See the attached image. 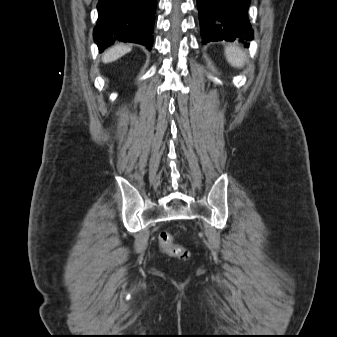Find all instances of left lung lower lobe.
Returning a JSON list of instances; mask_svg holds the SVG:
<instances>
[{
    "label": "left lung lower lobe",
    "mask_w": 337,
    "mask_h": 337,
    "mask_svg": "<svg viewBox=\"0 0 337 337\" xmlns=\"http://www.w3.org/2000/svg\"><path fill=\"white\" fill-rule=\"evenodd\" d=\"M250 0H197L202 43L253 39L248 20Z\"/></svg>",
    "instance_id": "left-lung-lower-lobe-1"
}]
</instances>
